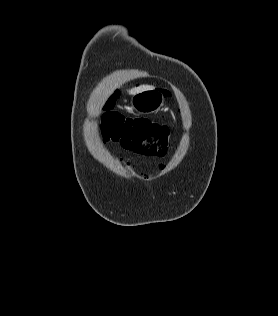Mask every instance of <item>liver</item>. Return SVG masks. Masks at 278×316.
<instances>
[{"label":"liver","instance_id":"6515ba94","mask_svg":"<svg viewBox=\"0 0 278 316\" xmlns=\"http://www.w3.org/2000/svg\"><path fill=\"white\" fill-rule=\"evenodd\" d=\"M150 89H154L153 86H148V85H143V86H139L137 88H133L131 90H129L130 94H136L145 90H150Z\"/></svg>","mask_w":278,"mask_h":316}]
</instances>
